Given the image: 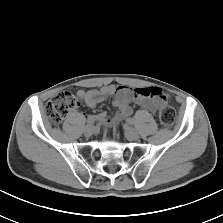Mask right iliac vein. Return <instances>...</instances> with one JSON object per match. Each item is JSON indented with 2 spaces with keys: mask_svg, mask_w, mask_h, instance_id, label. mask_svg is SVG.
<instances>
[{
  "mask_svg": "<svg viewBox=\"0 0 223 223\" xmlns=\"http://www.w3.org/2000/svg\"><path fill=\"white\" fill-rule=\"evenodd\" d=\"M95 131V128L93 125H87L84 129V134L86 136H91Z\"/></svg>",
  "mask_w": 223,
  "mask_h": 223,
  "instance_id": "obj_1",
  "label": "right iliac vein"
}]
</instances>
